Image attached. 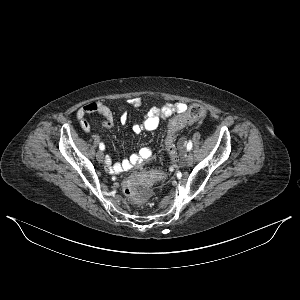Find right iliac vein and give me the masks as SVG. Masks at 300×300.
I'll return each mask as SVG.
<instances>
[{
  "mask_svg": "<svg viewBox=\"0 0 300 300\" xmlns=\"http://www.w3.org/2000/svg\"><path fill=\"white\" fill-rule=\"evenodd\" d=\"M96 158L99 162H102L104 160V153L102 151H98L96 154Z\"/></svg>",
  "mask_w": 300,
  "mask_h": 300,
  "instance_id": "63e3f726",
  "label": "right iliac vein"
}]
</instances>
